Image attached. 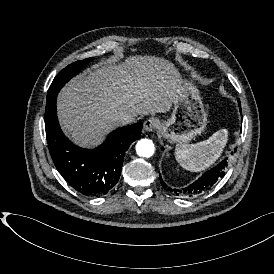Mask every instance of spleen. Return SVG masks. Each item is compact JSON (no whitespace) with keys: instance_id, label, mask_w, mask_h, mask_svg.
<instances>
[{"instance_id":"spleen-1","label":"spleen","mask_w":274,"mask_h":274,"mask_svg":"<svg viewBox=\"0 0 274 274\" xmlns=\"http://www.w3.org/2000/svg\"><path fill=\"white\" fill-rule=\"evenodd\" d=\"M227 138V129H221L208 140L196 144L177 145L175 158L186 170L191 172L203 171L213 165L221 156Z\"/></svg>"}]
</instances>
